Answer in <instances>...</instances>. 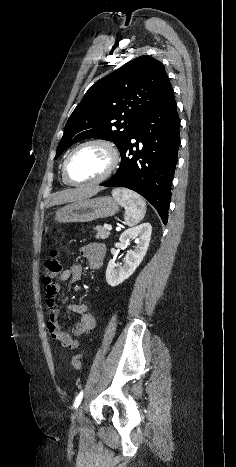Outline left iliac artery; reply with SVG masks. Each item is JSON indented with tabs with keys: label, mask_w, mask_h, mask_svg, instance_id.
Wrapping results in <instances>:
<instances>
[{
	"label": "left iliac artery",
	"mask_w": 236,
	"mask_h": 467,
	"mask_svg": "<svg viewBox=\"0 0 236 467\" xmlns=\"http://www.w3.org/2000/svg\"><path fill=\"white\" fill-rule=\"evenodd\" d=\"M82 398H83V391H81L78 396L75 398V401H74V404H73V407L75 409H77L82 401Z\"/></svg>",
	"instance_id": "44dca946"
}]
</instances>
